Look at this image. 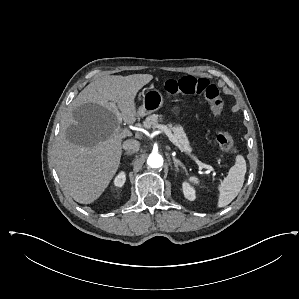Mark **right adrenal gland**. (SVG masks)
<instances>
[{"mask_svg": "<svg viewBox=\"0 0 299 299\" xmlns=\"http://www.w3.org/2000/svg\"><path fill=\"white\" fill-rule=\"evenodd\" d=\"M124 155H131V153L130 152H125Z\"/></svg>", "mask_w": 299, "mask_h": 299, "instance_id": "right-adrenal-gland-1", "label": "right adrenal gland"}]
</instances>
